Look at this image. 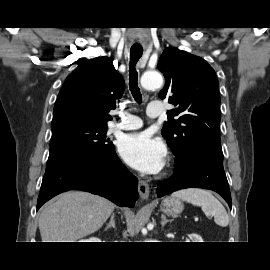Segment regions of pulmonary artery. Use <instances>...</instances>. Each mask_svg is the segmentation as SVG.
<instances>
[{
    "label": "pulmonary artery",
    "instance_id": "pulmonary-artery-1",
    "mask_svg": "<svg viewBox=\"0 0 270 270\" xmlns=\"http://www.w3.org/2000/svg\"><path fill=\"white\" fill-rule=\"evenodd\" d=\"M163 109L160 102L151 103L147 108V115L150 118H159L162 115ZM122 120L115 124V130H135L142 127V120L135 115L122 114Z\"/></svg>",
    "mask_w": 270,
    "mask_h": 270
}]
</instances>
